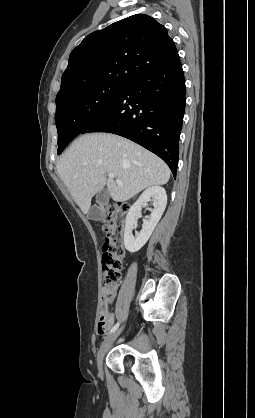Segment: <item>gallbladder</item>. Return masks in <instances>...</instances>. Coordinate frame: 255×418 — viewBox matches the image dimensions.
Listing matches in <instances>:
<instances>
[{"instance_id":"gallbladder-1","label":"gallbladder","mask_w":255,"mask_h":418,"mask_svg":"<svg viewBox=\"0 0 255 418\" xmlns=\"http://www.w3.org/2000/svg\"><path fill=\"white\" fill-rule=\"evenodd\" d=\"M110 198V194L107 188H103L101 191H99L96 195V202L99 206H102L104 204H107ZM99 206H93L92 209L89 212V215L92 218H96L100 215H102V210Z\"/></svg>"}]
</instances>
